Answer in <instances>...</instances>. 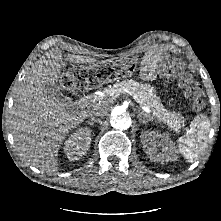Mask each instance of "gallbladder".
Returning <instances> with one entry per match:
<instances>
[{
    "label": "gallbladder",
    "instance_id": "gallbladder-1",
    "mask_svg": "<svg viewBox=\"0 0 221 221\" xmlns=\"http://www.w3.org/2000/svg\"><path fill=\"white\" fill-rule=\"evenodd\" d=\"M47 92L51 97L56 98L63 103L68 102V99L65 96H63V94L60 92V87L58 85L56 86L48 85Z\"/></svg>",
    "mask_w": 221,
    "mask_h": 221
}]
</instances>
